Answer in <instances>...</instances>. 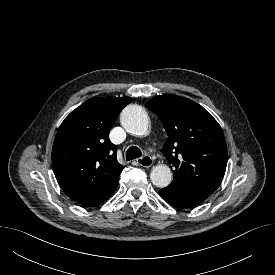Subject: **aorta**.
I'll return each mask as SVG.
<instances>
[{
	"label": "aorta",
	"instance_id": "obj_1",
	"mask_svg": "<svg viewBox=\"0 0 275 275\" xmlns=\"http://www.w3.org/2000/svg\"><path fill=\"white\" fill-rule=\"evenodd\" d=\"M121 125L131 134L143 136L149 131V119L146 111L139 105H128L121 113ZM151 182L159 187H167L172 181V173L168 166L157 165L150 173Z\"/></svg>",
	"mask_w": 275,
	"mask_h": 275
}]
</instances>
